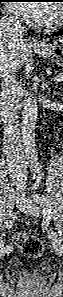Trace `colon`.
Segmentation results:
<instances>
[{
	"label": "colon",
	"instance_id": "obj_1",
	"mask_svg": "<svg viewBox=\"0 0 63 297\" xmlns=\"http://www.w3.org/2000/svg\"><path fill=\"white\" fill-rule=\"evenodd\" d=\"M14 242L20 251L29 258H38L42 254V243L35 236L18 233L14 236Z\"/></svg>",
	"mask_w": 63,
	"mask_h": 297
}]
</instances>
